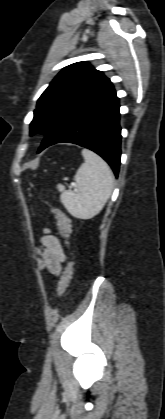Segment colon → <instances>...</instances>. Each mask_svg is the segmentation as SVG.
Masks as SVG:
<instances>
[{
    "label": "colon",
    "instance_id": "obj_1",
    "mask_svg": "<svg viewBox=\"0 0 165 419\" xmlns=\"http://www.w3.org/2000/svg\"><path fill=\"white\" fill-rule=\"evenodd\" d=\"M49 206L57 221L59 233L62 236V238L66 241L71 233L70 218L64 211H62L59 207L55 206L54 204L49 203ZM72 275L73 265L71 261H68L64 266V272L58 285V295L60 297H62L68 290L72 280Z\"/></svg>",
    "mask_w": 165,
    "mask_h": 419
}]
</instances>
